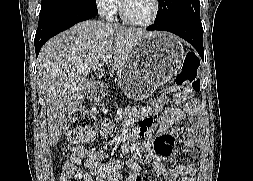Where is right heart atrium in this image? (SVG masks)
<instances>
[{"label": "right heart atrium", "instance_id": "right-heart-atrium-1", "mask_svg": "<svg viewBox=\"0 0 253 181\" xmlns=\"http://www.w3.org/2000/svg\"><path fill=\"white\" fill-rule=\"evenodd\" d=\"M98 14L105 20H112L120 9L119 0H94Z\"/></svg>", "mask_w": 253, "mask_h": 181}]
</instances>
